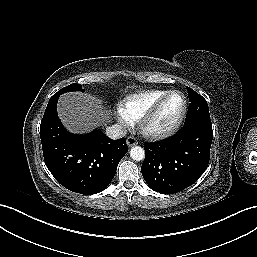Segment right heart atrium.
<instances>
[{
    "label": "right heart atrium",
    "mask_w": 257,
    "mask_h": 257,
    "mask_svg": "<svg viewBox=\"0 0 257 257\" xmlns=\"http://www.w3.org/2000/svg\"><path fill=\"white\" fill-rule=\"evenodd\" d=\"M118 121L123 127H127L131 124V122L123 115V113L119 110L118 112Z\"/></svg>",
    "instance_id": "obj_1"
}]
</instances>
